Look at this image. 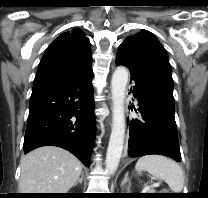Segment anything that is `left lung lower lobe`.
I'll list each match as a JSON object with an SVG mask.
<instances>
[{
    "label": "left lung lower lobe",
    "instance_id": "0a47b994",
    "mask_svg": "<svg viewBox=\"0 0 208 198\" xmlns=\"http://www.w3.org/2000/svg\"><path fill=\"white\" fill-rule=\"evenodd\" d=\"M116 64L127 66L131 73L134 97L138 98L140 119H128L129 156L160 154L181 161L174 100L158 88L143 72L134 56L119 47Z\"/></svg>",
    "mask_w": 208,
    "mask_h": 198
}]
</instances>
